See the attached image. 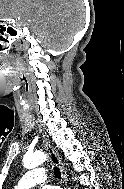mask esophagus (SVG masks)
<instances>
[{
  "label": "esophagus",
  "instance_id": "esophagus-1",
  "mask_svg": "<svg viewBox=\"0 0 124 189\" xmlns=\"http://www.w3.org/2000/svg\"><path fill=\"white\" fill-rule=\"evenodd\" d=\"M38 128H39V132L42 134L43 136V142H44V146L48 152V155L50 157V160L53 164H55L61 171V176H62V181H63V186L64 189H69L68 184H67V174L66 171L64 169L63 164L61 163L57 152L55 151L54 147L52 146L51 142L49 141V139H47L44 135V130L42 128L41 125L38 124Z\"/></svg>",
  "mask_w": 124,
  "mask_h": 189
}]
</instances>
